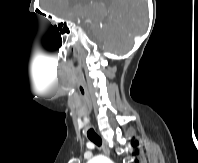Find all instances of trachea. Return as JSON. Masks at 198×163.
I'll list each match as a JSON object with an SVG mask.
<instances>
[{"mask_svg":"<svg viewBox=\"0 0 198 163\" xmlns=\"http://www.w3.org/2000/svg\"><path fill=\"white\" fill-rule=\"evenodd\" d=\"M87 136L94 144H96L99 147L101 146L102 140L100 136L92 128L88 130Z\"/></svg>","mask_w":198,"mask_h":163,"instance_id":"1","label":"trachea"}]
</instances>
